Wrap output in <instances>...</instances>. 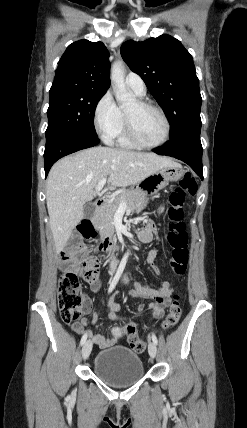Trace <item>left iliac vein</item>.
Returning a JSON list of instances; mask_svg holds the SVG:
<instances>
[{"label":"left iliac vein","mask_w":247,"mask_h":428,"mask_svg":"<svg viewBox=\"0 0 247 428\" xmlns=\"http://www.w3.org/2000/svg\"><path fill=\"white\" fill-rule=\"evenodd\" d=\"M125 281H128V278H125ZM148 352L149 355L151 356V358H155L156 354H157V347L156 344L154 342H150L148 345Z\"/></svg>","instance_id":"4c4485c4"}]
</instances>
